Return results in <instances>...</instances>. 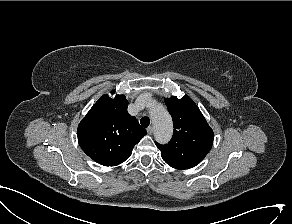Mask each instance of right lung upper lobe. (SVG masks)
<instances>
[{
	"instance_id": "right-lung-upper-lobe-1",
	"label": "right lung upper lobe",
	"mask_w": 292,
	"mask_h": 224,
	"mask_svg": "<svg viewBox=\"0 0 292 224\" xmlns=\"http://www.w3.org/2000/svg\"><path fill=\"white\" fill-rule=\"evenodd\" d=\"M124 95L114 99L103 95L78 126L82 150L103 166H116L127 160L133 147L147 132L127 112Z\"/></svg>"
}]
</instances>
